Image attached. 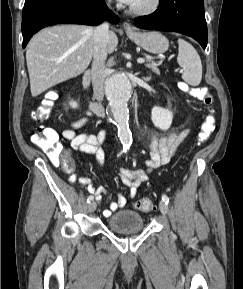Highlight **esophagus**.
Returning <instances> with one entry per match:
<instances>
[{
  "instance_id": "1",
  "label": "esophagus",
  "mask_w": 243,
  "mask_h": 289,
  "mask_svg": "<svg viewBox=\"0 0 243 289\" xmlns=\"http://www.w3.org/2000/svg\"><path fill=\"white\" fill-rule=\"evenodd\" d=\"M124 29L127 33H131V32H134V28L131 26L130 23H125L124 24Z\"/></svg>"
}]
</instances>
